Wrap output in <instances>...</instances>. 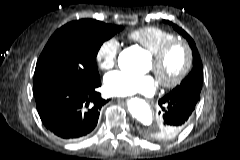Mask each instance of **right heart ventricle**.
<instances>
[{"mask_svg": "<svg viewBox=\"0 0 240 160\" xmlns=\"http://www.w3.org/2000/svg\"><path fill=\"white\" fill-rule=\"evenodd\" d=\"M129 39L138 43L149 53H156L164 44L175 39V35L163 28L148 26L132 31Z\"/></svg>", "mask_w": 240, "mask_h": 160, "instance_id": "right-heart-ventricle-1", "label": "right heart ventricle"}]
</instances>
